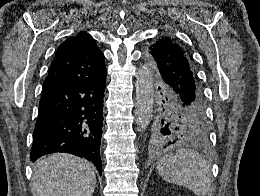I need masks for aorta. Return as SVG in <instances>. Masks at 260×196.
Instances as JSON below:
<instances>
[{
    "label": "aorta",
    "mask_w": 260,
    "mask_h": 196,
    "mask_svg": "<svg viewBox=\"0 0 260 196\" xmlns=\"http://www.w3.org/2000/svg\"><path fill=\"white\" fill-rule=\"evenodd\" d=\"M136 108L141 128H145L153 114V74L148 65H142L136 80Z\"/></svg>",
    "instance_id": "obj_1"
}]
</instances>
